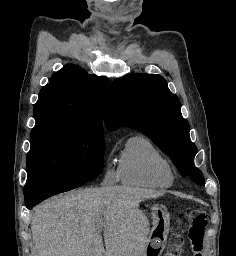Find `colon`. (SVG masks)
<instances>
[{"instance_id": "5ec220e1", "label": "colon", "mask_w": 236, "mask_h": 256, "mask_svg": "<svg viewBox=\"0 0 236 256\" xmlns=\"http://www.w3.org/2000/svg\"><path fill=\"white\" fill-rule=\"evenodd\" d=\"M186 217L190 221L188 238L193 256H203L204 232L207 227V209L204 205H197L185 211ZM172 244L177 249L170 251L168 256H180V250L184 244V239L180 229L172 237Z\"/></svg>"}]
</instances>
